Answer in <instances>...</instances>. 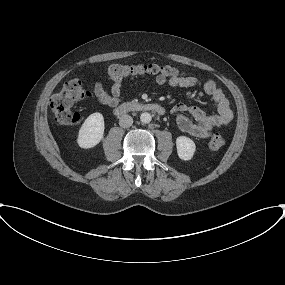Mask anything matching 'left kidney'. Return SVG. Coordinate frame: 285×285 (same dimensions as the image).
Instances as JSON below:
<instances>
[{"label":"left kidney","mask_w":285,"mask_h":285,"mask_svg":"<svg viewBox=\"0 0 285 285\" xmlns=\"http://www.w3.org/2000/svg\"><path fill=\"white\" fill-rule=\"evenodd\" d=\"M176 147L179 158L184 161L191 160L196 150L194 141L186 136L177 137Z\"/></svg>","instance_id":"left-kidney-1"}]
</instances>
